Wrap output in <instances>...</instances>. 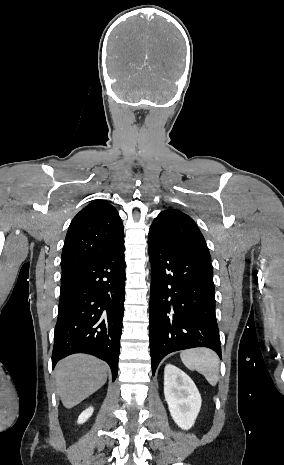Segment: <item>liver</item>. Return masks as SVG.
Masks as SVG:
<instances>
[{
	"label": "liver",
	"instance_id": "1",
	"mask_svg": "<svg viewBox=\"0 0 284 465\" xmlns=\"http://www.w3.org/2000/svg\"><path fill=\"white\" fill-rule=\"evenodd\" d=\"M108 365L90 355H71L55 369L57 395L66 409L79 405L107 381Z\"/></svg>",
	"mask_w": 284,
	"mask_h": 465
}]
</instances>
